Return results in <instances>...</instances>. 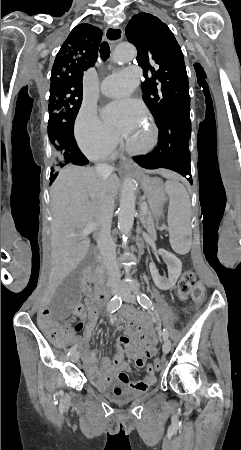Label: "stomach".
<instances>
[{
	"label": "stomach",
	"mask_w": 241,
	"mask_h": 450,
	"mask_svg": "<svg viewBox=\"0 0 241 450\" xmlns=\"http://www.w3.org/2000/svg\"><path fill=\"white\" fill-rule=\"evenodd\" d=\"M140 183L152 213L155 217L159 216L166 201L162 182L158 178H150L144 175L140 177Z\"/></svg>",
	"instance_id": "stomach-1"
}]
</instances>
